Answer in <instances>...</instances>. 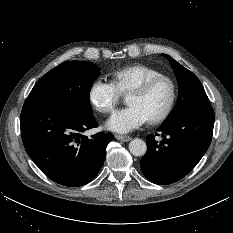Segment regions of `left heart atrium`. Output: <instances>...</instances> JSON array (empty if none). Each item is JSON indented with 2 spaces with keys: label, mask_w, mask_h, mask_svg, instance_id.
<instances>
[{
  "label": "left heart atrium",
  "mask_w": 233,
  "mask_h": 233,
  "mask_svg": "<svg viewBox=\"0 0 233 233\" xmlns=\"http://www.w3.org/2000/svg\"><path fill=\"white\" fill-rule=\"evenodd\" d=\"M148 121L140 108L134 105L115 112L106 122V127L114 132L126 133Z\"/></svg>",
  "instance_id": "1"
}]
</instances>
